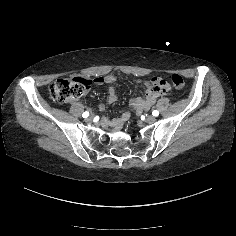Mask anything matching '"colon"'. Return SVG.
<instances>
[{
  "label": "colon",
  "instance_id": "obj_1",
  "mask_svg": "<svg viewBox=\"0 0 236 236\" xmlns=\"http://www.w3.org/2000/svg\"><path fill=\"white\" fill-rule=\"evenodd\" d=\"M171 81L179 90L185 86L183 77L178 74H174ZM91 83V79L86 76L57 79L50 85L49 94L54 102L65 103L82 96L90 88Z\"/></svg>",
  "mask_w": 236,
  "mask_h": 236
}]
</instances>
